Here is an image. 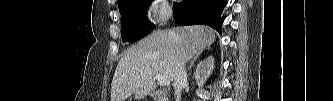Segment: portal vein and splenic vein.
I'll return each mask as SVG.
<instances>
[{
	"label": "portal vein and splenic vein",
	"instance_id": "18ae733b",
	"mask_svg": "<svg viewBox=\"0 0 333 101\" xmlns=\"http://www.w3.org/2000/svg\"><path fill=\"white\" fill-rule=\"evenodd\" d=\"M155 78L160 85L168 86L170 84V79L167 77H164L162 75H157Z\"/></svg>",
	"mask_w": 333,
	"mask_h": 101
}]
</instances>
